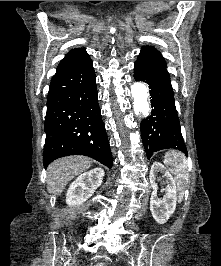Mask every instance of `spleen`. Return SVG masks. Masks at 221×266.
<instances>
[{"mask_svg":"<svg viewBox=\"0 0 221 266\" xmlns=\"http://www.w3.org/2000/svg\"><path fill=\"white\" fill-rule=\"evenodd\" d=\"M164 164L175 176L178 189L183 193L189 181L187 159L180 152L169 151L164 157Z\"/></svg>","mask_w":221,"mask_h":266,"instance_id":"1","label":"spleen"}]
</instances>
